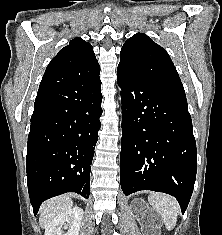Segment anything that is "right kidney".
Masks as SVG:
<instances>
[{"label": "right kidney", "mask_w": 222, "mask_h": 235, "mask_svg": "<svg viewBox=\"0 0 222 235\" xmlns=\"http://www.w3.org/2000/svg\"><path fill=\"white\" fill-rule=\"evenodd\" d=\"M83 218L82 208L75 207L56 216L45 229V235H79Z\"/></svg>", "instance_id": "right-kidney-1"}]
</instances>
